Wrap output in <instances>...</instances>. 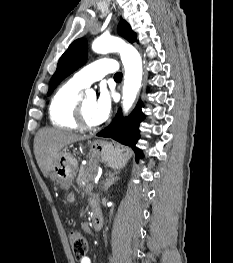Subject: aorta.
Listing matches in <instances>:
<instances>
[{"label": "aorta", "instance_id": "obj_1", "mask_svg": "<svg viewBox=\"0 0 233 263\" xmlns=\"http://www.w3.org/2000/svg\"><path fill=\"white\" fill-rule=\"evenodd\" d=\"M92 49L96 53H120L125 68V79L123 86V110L127 112L133 105L142 81V61L138 51L121 38L114 36L99 37L94 40ZM92 91L88 90L87 95Z\"/></svg>", "mask_w": 233, "mask_h": 263}]
</instances>
